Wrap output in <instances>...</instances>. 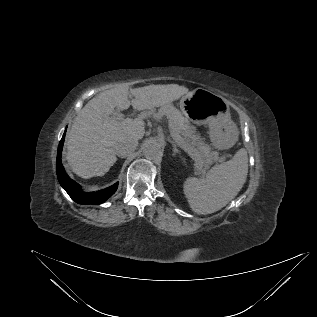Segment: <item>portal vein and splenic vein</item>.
<instances>
[{
  "label": "portal vein and splenic vein",
  "instance_id": "18ae733b",
  "mask_svg": "<svg viewBox=\"0 0 317 317\" xmlns=\"http://www.w3.org/2000/svg\"><path fill=\"white\" fill-rule=\"evenodd\" d=\"M124 114L122 113H114L113 116H111L112 120H124ZM175 141L183 148V140L180 138L179 135L171 133Z\"/></svg>",
  "mask_w": 317,
  "mask_h": 317
}]
</instances>
